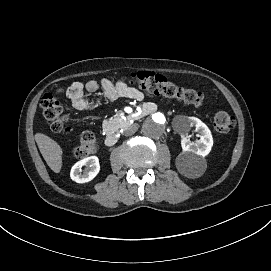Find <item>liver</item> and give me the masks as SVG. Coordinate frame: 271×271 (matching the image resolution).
<instances>
[{
    "label": "liver",
    "instance_id": "6515ba94",
    "mask_svg": "<svg viewBox=\"0 0 271 271\" xmlns=\"http://www.w3.org/2000/svg\"><path fill=\"white\" fill-rule=\"evenodd\" d=\"M35 141L47 165L55 173H59L62 167V149L50 137L37 133Z\"/></svg>",
    "mask_w": 271,
    "mask_h": 271
}]
</instances>
